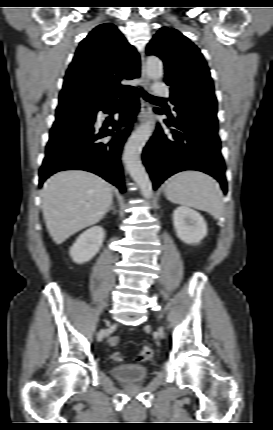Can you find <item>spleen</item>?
<instances>
[{"label": "spleen", "mask_w": 273, "mask_h": 430, "mask_svg": "<svg viewBox=\"0 0 273 430\" xmlns=\"http://www.w3.org/2000/svg\"><path fill=\"white\" fill-rule=\"evenodd\" d=\"M166 197L182 206L206 211L215 218L224 213L222 193L217 182L209 175L195 170H185L166 181Z\"/></svg>", "instance_id": "3e777b00"}]
</instances>
